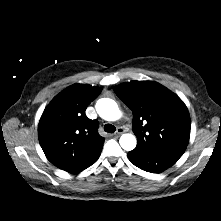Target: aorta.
<instances>
[{"mask_svg":"<svg viewBox=\"0 0 221 221\" xmlns=\"http://www.w3.org/2000/svg\"><path fill=\"white\" fill-rule=\"evenodd\" d=\"M96 111L107 121H116L122 115L117 103L110 98L99 99L96 103ZM119 143L124 150L131 151L136 147L137 140L134 135L127 133L120 137Z\"/></svg>","mask_w":221,"mask_h":221,"instance_id":"aorta-1","label":"aorta"}]
</instances>
